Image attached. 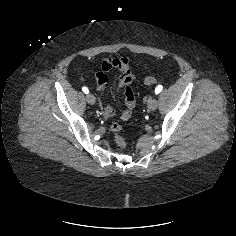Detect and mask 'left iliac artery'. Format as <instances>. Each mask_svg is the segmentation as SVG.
Here are the masks:
<instances>
[{"mask_svg": "<svg viewBox=\"0 0 236 236\" xmlns=\"http://www.w3.org/2000/svg\"><path fill=\"white\" fill-rule=\"evenodd\" d=\"M162 89H163L162 85H158L155 89V93L159 94L162 91Z\"/></svg>", "mask_w": 236, "mask_h": 236, "instance_id": "left-iliac-artery-1", "label": "left iliac artery"}]
</instances>
